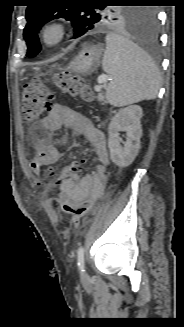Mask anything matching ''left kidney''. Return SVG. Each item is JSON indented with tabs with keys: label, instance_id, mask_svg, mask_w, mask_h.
<instances>
[{
	"label": "left kidney",
	"instance_id": "obj_1",
	"mask_svg": "<svg viewBox=\"0 0 184 327\" xmlns=\"http://www.w3.org/2000/svg\"><path fill=\"white\" fill-rule=\"evenodd\" d=\"M142 108L139 105H130L120 109L108 127V147L110 158L119 167H128L138 155L140 149V138L142 136L141 117ZM126 132V142L122 147L119 132Z\"/></svg>",
	"mask_w": 184,
	"mask_h": 327
}]
</instances>
